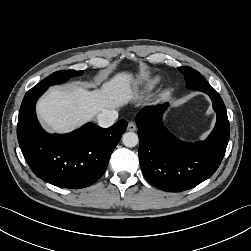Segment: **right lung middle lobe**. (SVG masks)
Returning a JSON list of instances; mask_svg holds the SVG:
<instances>
[{"label": "right lung middle lobe", "mask_w": 251, "mask_h": 251, "mask_svg": "<svg viewBox=\"0 0 251 251\" xmlns=\"http://www.w3.org/2000/svg\"><path fill=\"white\" fill-rule=\"evenodd\" d=\"M83 74V71H75V70H62L58 72L52 73L50 76L42 80L36 86L39 87H49L55 84H61L66 82L69 78L74 76H80Z\"/></svg>", "instance_id": "right-lung-middle-lobe-1"}]
</instances>
